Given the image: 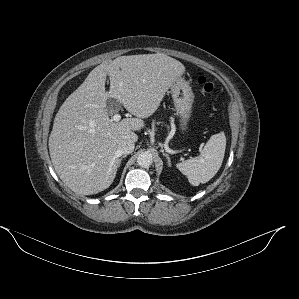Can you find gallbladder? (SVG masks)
I'll use <instances>...</instances> for the list:
<instances>
[{
    "instance_id": "1",
    "label": "gallbladder",
    "mask_w": 299,
    "mask_h": 299,
    "mask_svg": "<svg viewBox=\"0 0 299 299\" xmlns=\"http://www.w3.org/2000/svg\"><path fill=\"white\" fill-rule=\"evenodd\" d=\"M106 104L107 108L109 110H113L114 112L118 111L121 108L119 102L112 98H108Z\"/></svg>"
}]
</instances>
